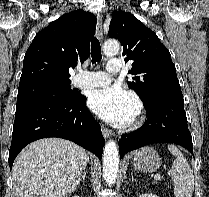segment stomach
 I'll use <instances>...</instances> for the list:
<instances>
[{"label": "stomach", "mask_w": 209, "mask_h": 197, "mask_svg": "<svg viewBox=\"0 0 209 197\" xmlns=\"http://www.w3.org/2000/svg\"><path fill=\"white\" fill-rule=\"evenodd\" d=\"M134 158L132 164L135 169L144 172H154L161 165V158L154 150L150 147H144L133 154Z\"/></svg>", "instance_id": "stomach-1"}]
</instances>
